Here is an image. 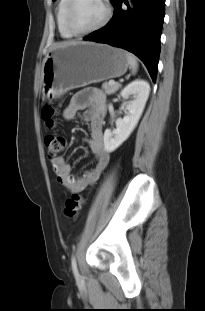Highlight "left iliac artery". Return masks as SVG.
Segmentation results:
<instances>
[{"mask_svg":"<svg viewBox=\"0 0 205 311\" xmlns=\"http://www.w3.org/2000/svg\"><path fill=\"white\" fill-rule=\"evenodd\" d=\"M72 270L75 276H78V269H77V262H76V255L74 254L71 259Z\"/></svg>","mask_w":205,"mask_h":311,"instance_id":"1","label":"left iliac artery"}]
</instances>
